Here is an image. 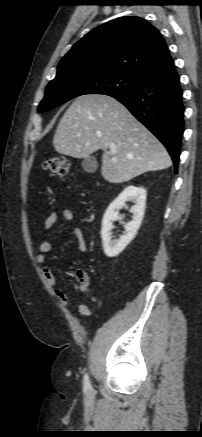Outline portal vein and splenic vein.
<instances>
[{"label": "portal vein and splenic vein", "instance_id": "obj_1", "mask_svg": "<svg viewBox=\"0 0 202 437\" xmlns=\"http://www.w3.org/2000/svg\"><path fill=\"white\" fill-rule=\"evenodd\" d=\"M115 151H116V150H115V148H114V147H111V148H110V153H112V154H113V153H115Z\"/></svg>", "mask_w": 202, "mask_h": 437}]
</instances>
